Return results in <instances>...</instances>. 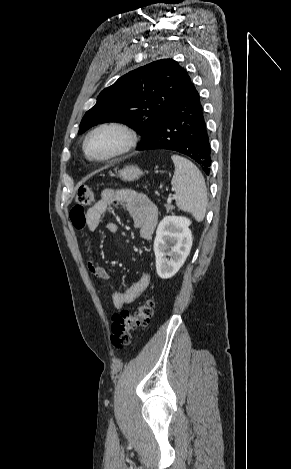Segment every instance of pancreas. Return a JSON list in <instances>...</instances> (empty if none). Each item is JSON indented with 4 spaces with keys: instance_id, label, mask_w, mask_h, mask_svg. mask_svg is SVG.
Segmentation results:
<instances>
[{
    "instance_id": "cf45deb5",
    "label": "pancreas",
    "mask_w": 291,
    "mask_h": 469,
    "mask_svg": "<svg viewBox=\"0 0 291 469\" xmlns=\"http://www.w3.org/2000/svg\"><path fill=\"white\" fill-rule=\"evenodd\" d=\"M173 209H174V206H172V205H170V204H167V205H166V210H167V212H170V211H172Z\"/></svg>"
}]
</instances>
